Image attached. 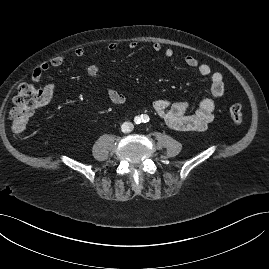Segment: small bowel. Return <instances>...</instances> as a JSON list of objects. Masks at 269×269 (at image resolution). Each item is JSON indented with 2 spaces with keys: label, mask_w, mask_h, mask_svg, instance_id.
I'll return each instance as SVG.
<instances>
[{
  "label": "small bowel",
  "mask_w": 269,
  "mask_h": 269,
  "mask_svg": "<svg viewBox=\"0 0 269 269\" xmlns=\"http://www.w3.org/2000/svg\"><path fill=\"white\" fill-rule=\"evenodd\" d=\"M137 47L138 44L135 41H131L128 44V48L131 50H135ZM106 48L109 52H114L118 49V44L116 42H110ZM152 49L155 52L163 51L164 56L167 58H171L174 55L172 48L163 49L162 44L158 42L152 44ZM74 54L78 58H83L85 56V50L83 48H77ZM65 61L64 56H56L50 61L42 63L32 72V81L35 83L40 82L44 73L50 68L62 66ZM184 62L189 68L196 69L200 76L209 78V91L212 97L202 100L198 109L193 113L190 112V105L186 101L169 103L166 100L158 99L153 103V108L166 125L176 131H203L214 120L217 99L225 95L226 86L224 77L220 72L212 71L209 65L200 64L192 55H187L184 58ZM86 72L90 76H96L99 73V67L95 63H89L86 66ZM55 90L56 85L54 83H49L42 89V105H47L51 102ZM106 94L108 99L116 105H123L126 102L125 96L115 89L108 88Z\"/></svg>",
  "instance_id": "c3829d8e"
}]
</instances>
